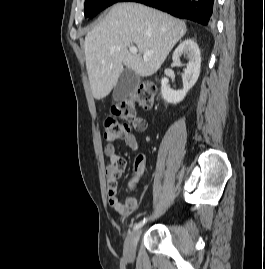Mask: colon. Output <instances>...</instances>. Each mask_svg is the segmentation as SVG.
Listing matches in <instances>:
<instances>
[{
	"mask_svg": "<svg viewBox=\"0 0 265 269\" xmlns=\"http://www.w3.org/2000/svg\"><path fill=\"white\" fill-rule=\"evenodd\" d=\"M156 86L151 82H142L130 97L115 103L111 115L103 120L105 141L113 142L130 132L131 126L139 127L137 108L151 109L154 106Z\"/></svg>",
	"mask_w": 265,
	"mask_h": 269,
	"instance_id": "obj_1",
	"label": "colon"
}]
</instances>
